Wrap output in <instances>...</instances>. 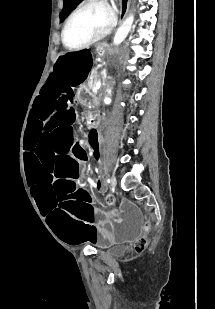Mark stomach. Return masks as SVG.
<instances>
[{"mask_svg": "<svg viewBox=\"0 0 215 309\" xmlns=\"http://www.w3.org/2000/svg\"><path fill=\"white\" fill-rule=\"evenodd\" d=\"M96 51L99 56H104L108 51V44L104 42L99 43L96 47ZM81 96L86 101H90L91 99L95 98V93L92 91L91 88L85 87L81 91Z\"/></svg>", "mask_w": 215, "mask_h": 309, "instance_id": "stomach-1", "label": "stomach"}]
</instances>
